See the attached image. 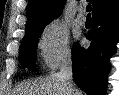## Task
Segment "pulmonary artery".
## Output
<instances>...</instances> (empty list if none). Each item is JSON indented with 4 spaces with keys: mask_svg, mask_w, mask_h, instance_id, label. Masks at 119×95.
Returning a JSON list of instances; mask_svg holds the SVG:
<instances>
[{
    "mask_svg": "<svg viewBox=\"0 0 119 95\" xmlns=\"http://www.w3.org/2000/svg\"><path fill=\"white\" fill-rule=\"evenodd\" d=\"M77 20L80 24H85V22H86V16L84 14L83 7H80V9H79V13L77 15Z\"/></svg>",
    "mask_w": 119,
    "mask_h": 95,
    "instance_id": "e3ab8cb5",
    "label": "pulmonary artery"
}]
</instances>
